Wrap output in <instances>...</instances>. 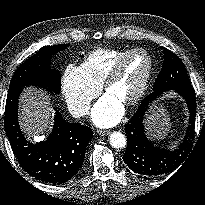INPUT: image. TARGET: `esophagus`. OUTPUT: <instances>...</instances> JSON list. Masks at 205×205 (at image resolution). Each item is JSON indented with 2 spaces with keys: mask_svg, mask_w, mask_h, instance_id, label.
<instances>
[{
  "mask_svg": "<svg viewBox=\"0 0 205 205\" xmlns=\"http://www.w3.org/2000/svg\"><path fill=\"white\" fill-rule=\"evenodd\" d=\"M98 134L101 135V136H106V135L110 134V131L99 130Z\"/></svg>",
  "mask_w": 205,
  "mask_h": 205,
  "instance_id": "esophagus-1",
  "label": "esophagus"
}]
</instances>
